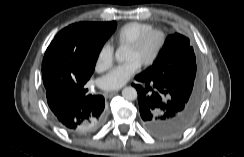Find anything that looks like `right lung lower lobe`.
<instances>
[{
    "mask_svg": "<svg viewBox=\"0 0 244 157\" xmlns=\"http://www.w3.org/2000/svg\"><path fill=\"white\" fill-rule=\"evenodd\" d=\"M84 84L72 83L46 92L58 124L68 132L83 134L94 130L105 117L104 98L87 94Z\"/></svg>",
    "mask_w": 244,
    "mask_h": 157,
    "instance_id": "98d812e1",
    "label": "right lung lower lobe"
}]
</instances>
